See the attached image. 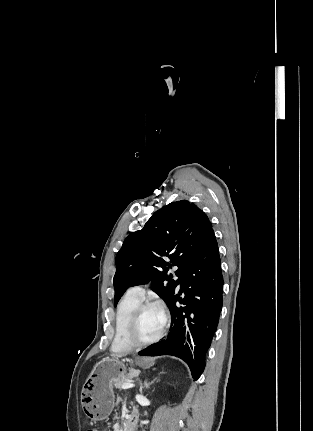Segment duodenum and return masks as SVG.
I'll return each mask as SVG.
<instances>
[{
  "label": "duodenum",
  "instance_id": "obj_1",
  "mask_svg": "<svg viewBox=\"0 0 313 431\" xmlns=\"http://www.w3.org/2000/svg\"><path fill=\"white\" fill-rule=\"evenodd\" d=\"M137 421V414L133 413L124 422V431H134V427Z\"/></svg>",
  "mask_w": 313,
  "mask_h": 431
}]
</instances>
